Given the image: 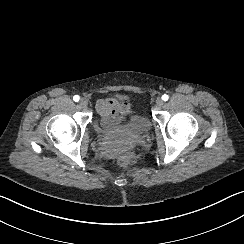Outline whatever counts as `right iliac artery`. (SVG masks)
<instances>
[{"instance_id":"obj_1","label":"right iliac artery","mask_w":244,"mask_h":244,"mask_svg":"<svg viewBox=\"0 0 244 244\" xmlns=\"http://www.w3.org/2000/svg\"><path fill=\"white\" fill-rule=\"evenodd\" d=\"M79 99H80V97H79L78 95H75V96L73 97V100H74L75 102H78Z\"/></svg>"}]
</instances>
